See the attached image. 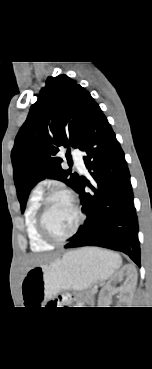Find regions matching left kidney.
Returning <instances> with one entry per match:
<instances>
[{"mask_svg": "<svg viewBox=\"0 0 152 369\" xmlns=\"http://www.w3.org/2000/svg\"><path fill=\"white\" fill-rule=\"evenodd\" d=\"M124 276L128 279L123 289L124 294H131L133 292L137 284V270L135 267L127 265L117 272V274L106 284L104 289L101 290L98 300L99 307H107L110 302L108 294L117 292L113 284L122 280Z\"/></svg>", "mask_w": 152, "mask_h": 369, "instance_id": "obj_1", "label": "left kidney"}]
</instances>
